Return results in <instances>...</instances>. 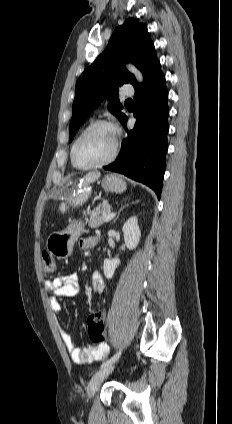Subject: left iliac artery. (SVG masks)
<instances>
[{
	"instance_id": "obj_1",
	"label": "left iliac artery",
	"mask_w": 232,
	"mask_h": 424,
	"mask_svg": "<svg viewBox=\"0 0 232 424\" xmlns=\"http://www.w3.org/2000/svg\"><path fill=\"white\" fill-rule=\"evenodd\" d=\"M120 355H121V349L113 356V357H111L110 359H108L107 361H105L102 365H101V368H103V367H105V366H107V365H109V364H112V363H114L116 360H118L119 359V357H120Z\"/></svg>"
}]
</instances>
